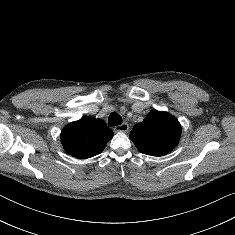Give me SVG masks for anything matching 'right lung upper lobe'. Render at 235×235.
Here are the masks:
<instances>
[{
	"instance_id": "cb5924a9",
	"label": "right lung upper lobe",
	"mask_w": 235,
	"mask_h": 235,
	"mask_svg": "<svg viewBox=\"0 0 235 235\" xmlns=\"http://www.w3.org/2000/svg\"><path fill=\"white\" fill-rule=\"evenodd\" d=\"M112 137L103 120L83 117L63 128L61 142L66 152L85 159L100 154Z\"/></svg>"
}]
</instances>
